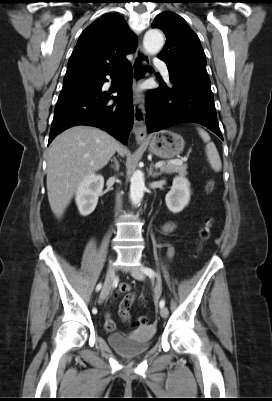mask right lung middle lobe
<instances>
[{
	"mask_svg": "<svg viewBox=\"0 0 272 401\" xmlns=\"http://www.w3.org/2000/svg\"><path fill=\"white\" fill-rule=\"evenodd\" d=\"M67 91H70V90H67ZM67 91H61V93H63V92H67Z\"/></svg>",
	"mask_w": 272,
	"mask_h": 401,
	"instance_id": "dd1d6c3e",
	"label": "right lung middle lobe"
}]
</instances>
